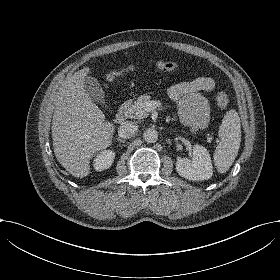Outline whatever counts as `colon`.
Here are the masks:
<instances>
[{
	"instance_id": "colon-1",
	"label": "colon",
	"mask_w": 280,
	"mask_h": 280,
	"mask_svg": "<svg viewBox=\"0 0 280 280\" xmlns=\"http://www.w3.org/2000/svg\"><path fill=\"white\" fill-rule=\"evenodd\" d=\"M179 66L180 63L175 58L164 59L160 63L161 70L167 73L177 70ZM215 99L219 108L225 109L228 106L229 99L226 92L218 91L215 95Z\"/></svg>"
}]
</instances>
